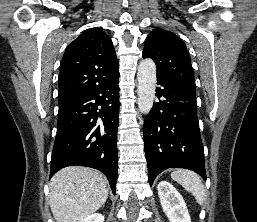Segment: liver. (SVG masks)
<instances>
[{
    "instance_id": "1",
    "label": "liver",
    "mask_w": 257,
    "mask_h": 222,
    "mask_svg": "<svg viewBox=\"0 0 257 222\" xmlns=\"http://www.w3.org/2000/svg\"><path fill=\"white\" fill-rule=\"evenodd\" d=\"M49 185V204L56 222H81L100 209L108 197L107 179L86 167L61 169Z\"/></svg>"
}]
</instances>
